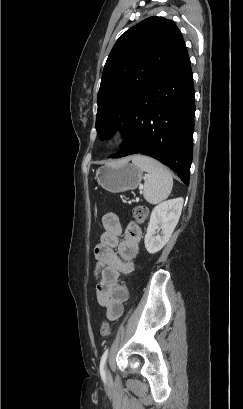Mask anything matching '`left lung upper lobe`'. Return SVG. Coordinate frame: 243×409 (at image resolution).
Wrapping results in <instances>:
<instances>
[{
	"label": "left lung upper lobe",
	"instance_id": "5c2ea615",
	"mask_svg": "<svg viewBox=\"0 0 243 409\" xmlns=\"http://www.w3.org/2000/svg\"><path fill=\"white\" fill-rule=\"evenodd\" d=\"M183 41L175 22L149 17L123 33L113 46L97 96L96 130L101 139L125 134L153 77Z\"/></svg>",
	"mask_w": 243,
	"mask_h": 409
}]
</instances>
